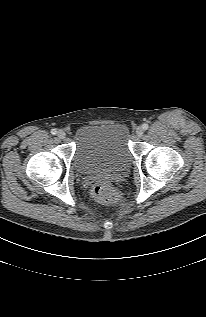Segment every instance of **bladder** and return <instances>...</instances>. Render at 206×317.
<instances>
[{"mask_svg": "<svg viewBox=\"0 0 206 317\" xmlns=\"http://www.w3.org/2000/svg\"><path fill=\"white\" fill-rule=\"evenodd\" d=\"M73 165L78 174L120 172L131 163L129 130L123 124L83 125L74 134Z\"/></svg>", "mask_w": 206, "mask_h": 317, "instance_id": "31cf9c89", "label": "bladder"}]
</instances>
